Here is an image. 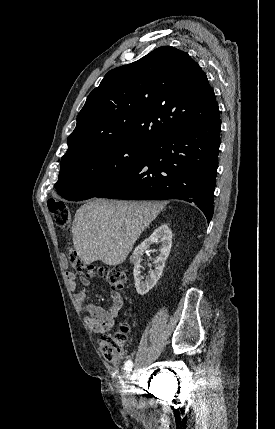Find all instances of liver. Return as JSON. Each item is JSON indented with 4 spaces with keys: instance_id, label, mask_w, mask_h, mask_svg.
<instances>
[{
    "instance_id": "1",
    "label": "liver",
    "mask_w": 275,
    "mask_h": 429,
    "mask_svg": "<svg viewBox=\"0 0 275 429\" xmlns=\"http://www.w3.org/2000/svg\"><path fill=\"white\" fill-rule=\"evenodd\" d=\"M162 202L94 199L82 205L72 224L74 248L85 264L123 263L145 228L157 217Z\"/></svg>"
}]
</instances>
